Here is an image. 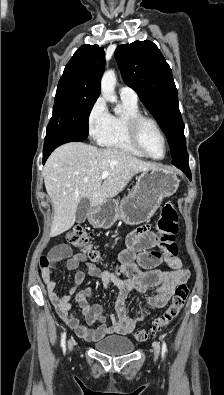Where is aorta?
<instances>
[{
	"label": "aorta",
	"mask_w": 224,
	"mask_h": 395,
	"mask_svg": "<svg viewBox=\"0 0 224 395\" xmlns=\"http://www.w3.org/2000/svg\"><path fill=\"white\" fill-rule=\"evenodd\" d=\"M116 82V75L113 70H108L103 74L101 80V93L103 97L111 103L117 102V97L115 95ZM118 110L119 107L117 106L115 112Z\"/></svg>",
	"instance_id": "1"
}]
</instances>
